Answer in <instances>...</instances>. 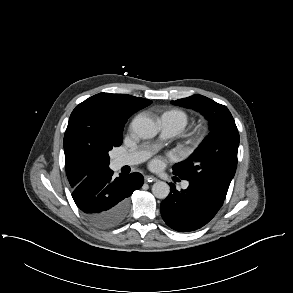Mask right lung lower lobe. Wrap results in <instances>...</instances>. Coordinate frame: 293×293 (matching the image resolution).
<instances>
[{"label":"right lung lower lobe","mask_w":293,"mask_h":293,"mask_svg":"<svg viewBox=\"0 0 293 293\" xmlns=\"http://www.w3.org/2000/svg\"><path fill=\"white\" fill-rule=\"evenodd\" d=\"M143 181L139 173L115 177L108 167L86 175L74 186L72 197L86 220L104 216H122L124 220L129 209V197L141 188Z\"/></svg>","instance_id":"right-lung-lower-lobe-1"}]
</instances>
